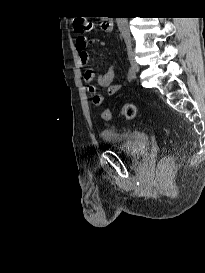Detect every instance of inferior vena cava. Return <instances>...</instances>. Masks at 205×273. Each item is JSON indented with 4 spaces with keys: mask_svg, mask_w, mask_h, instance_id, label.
Segmentation results:
<instances>
[{
    "mask_svg": "<svg viewBox=\"0 0 205 273\" xmlns=\"http://www.w3.org/2000/svg\"><path fill=\"white\" fill-rule=\"evenodd\" d=\"M117 24H118V29L121 33V36L124 38L126 45L128 47L131 46V36L129 32L127 18H117Z\"/></svg>",
    "mask_w": 205,
    "mask_h": 273,
    "instance_id": "1",
    "label": "inferior vena cava"
}]
</instances>
